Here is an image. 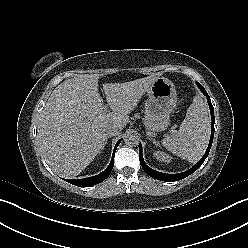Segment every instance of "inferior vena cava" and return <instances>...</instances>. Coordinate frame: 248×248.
Here are the masks:
<instances>
[{
  "label": "inferior vena cava",
  "mask_w": 248,
  "mask_h": 248,
  "mask_svg": "<svg viewBox=\"0 0 248 248\" xmlns=\"http://www.w3.org/2000/svg\"><path fill=\"white\" fill-rule=\"evenodd\" d=\"M120 131H121V128L118 125H116V124H110V125H108L106 127V130H105L106 134L108 136H110V137L111 136L118 135L120 133Z\"/></svg>",
  "instance_id": "602c4592"
}]
</instances>
